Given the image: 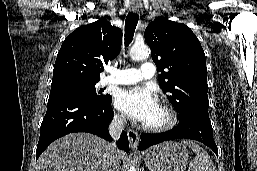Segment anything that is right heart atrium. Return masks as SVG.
Masks as SVG:
<instances>
[{"label": "right heart atrium", "instance_id": "1", "mask_svg": "<svg viewBox=\"0 0 257 171\" xmlns=\"http://www.w3.org/2000/svg\"><path fill=\"white\" fill-rule=\"evenodd\" d=\"M114 120L119 124H123L125 122V117L122 114L116 113L114 115Z\"/></svg>", "mask_w": 257, "mask_h": 171}]
</instances>
